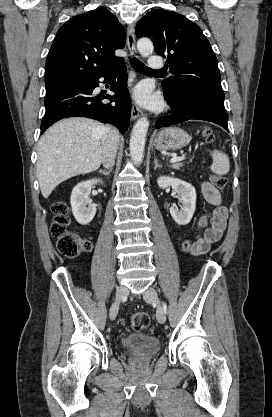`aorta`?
Masks as SVG:
<instances>
[{
    "label": "aorta",
    "instance_id": "1",
    "mask_svg": "<svg viewBox=\"0 0 272 417\" xmlns=\"http://www.w3.org/2000/svg\"><path fill=\"white\" fill-rule=\"evenodd\" d=\"M137 49L143 56H149L154 46L151 40L141 38L137 42ZM149 121L146 117L140 118L133 126L130 138V155L135 164H141L144 157L145 140L148 132Z\"/></svg>",
    "mask_w": 272,
    "mask_h": 417
}]
</instances>
